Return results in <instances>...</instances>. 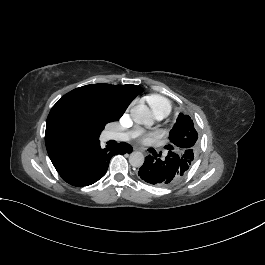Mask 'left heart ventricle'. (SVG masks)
Listing matches in <instances>:
<instances>
[{"label": "left heart ventricle", "mask_w": 265, "mask_h": 265, "mask_svg": "<svg viewBox=\"0 0 265 265\" xmlns=\"http://www.w3.org/2000/svg\"><path fill=\"white\" fill-rule=\"evenodd\" d=\"M156 115V114H155ZM157 117V116H156ZM155 125V124H154ZM154 125H152V126H150V127H147V126H145V125H143V128H145V129H150V128H152V127H154Z\"/></svg>", "instance_id": "b2bd125f"}]
</instances>
